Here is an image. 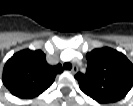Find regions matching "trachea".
<instances>
[{
	"mask_svg": "<svg viewBox=\"0 0 133 106\" xmlns=\"http://www.w3.org/2000/svg\"><path fill=\"white\" fill-rule=\"evenodd\" d=\"M63 68L66 69V70H70L72 68V64L69 63V62H65L63 64Z\"/></svg>",
	"mask_w": 133,
	"mask_h": 106,
	"instance_id": "3493384b",
	"label": "trachea"
}]
</instances>
